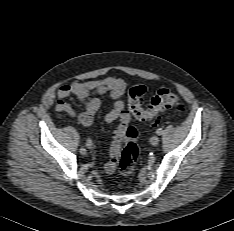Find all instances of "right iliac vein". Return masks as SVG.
<instances>
[{
  "label": "right iliac vein",
  "instance_id": "right-iliac-vein-1",
  "mask_svg": "<svg viewBox=\"0 0 234 231\" xmlns=\"http://www.w3.org/2000/svg\"><path fill=\"white\" fill-rule=\"evenodd\" d=\"M80 153L82 154V155H85L86 153H87V150L85 149V148H80Z\"/></svg>",
  "mask_w": 234,
  "mask_h": 231
}]
</instances>
